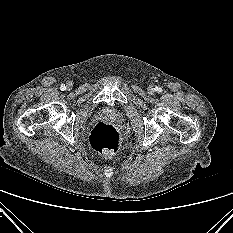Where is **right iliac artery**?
<instances>
[{"mask_svg":"<svg viewBox=\"0 0 233 233\" xmlns=\"http://www.w3.org/2000/svg\"><path fill=\"white\" fill-rule=\"evenodd\" d=\"M60 89H61L62 91H64V90L66 89L65 84H62V85L60 86Z\"/></svg>","mask_w":233,"mask_h":233,"instance_id":"right-iliac-artery-1","label":"right iliac artery"}]
</instances>
